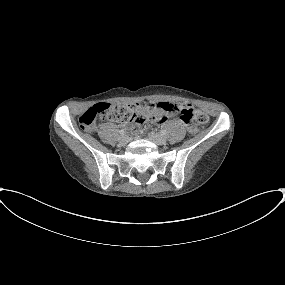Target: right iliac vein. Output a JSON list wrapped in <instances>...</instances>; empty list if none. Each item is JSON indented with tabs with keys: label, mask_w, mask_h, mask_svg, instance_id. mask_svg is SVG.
Wrapping results in <instances>:
<instances>
[{
	"label": "right iliac vein",
	"mask_w": 285,
	"mask_h": 285,
	"mask_svg": "<svg viewBox=\"0 0 285 285\" xmlns=\"http://www.w3.org/2000/svg\"><path fill=\"white\" fill-rule=\"evenodd\" d=\"M128 141H129V138L126 135L121 136L119 138V144L122 145V146L126 145L128 143Z\"/></svg>",
	"instance_id": "obj_1"
}]
</instances>
